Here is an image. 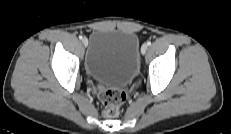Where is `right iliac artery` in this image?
Returning <instances> with one entry per match:
<instances>
[{
    "label": "right iliac artery",
    "mask_w": 231,
    "mask_h": 134,
    "mask_svg": "<svg viewBox=\"0 0 231 134\" xmlns=\"http://www.w3.org/2000/svg\"><path fill=\"white\" fill-rule=\"evenodd\" d=\"M82 38H83L82 35H80V36H79V39H82Z\"/></svg>",
    "instance_id": "obj_1"
}]
</instances>
